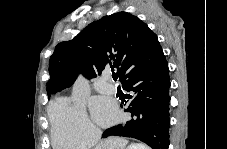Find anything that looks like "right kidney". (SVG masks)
Here are the masks:
<instances>
[{
    "label": "right kidney",
    "instance_id": "1",
    "mask_svg": "<svg viewBox=\"0 0 227 149\" xmlns=\"http://www.w3.org/2000/svg\"><path fill=\"white\" fill-rule=\"evenodd\" d=\"M127 149H148V147L142 144H131Z\"/></svg>",
    "mask_w": 227,
    "mask_h": 149
}]
</instances>
